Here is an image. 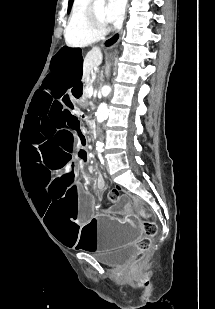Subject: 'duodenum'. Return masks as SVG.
Wrapping results in <instances>:
<instances>
[{"label":"duodenum","mask_w":215,"mask_h":309,"mask_svg":"<svg viewBox=\"0 0 215 309\" xmlns=\"http://www.w3.org/2000/svg\"><path fill=\"white\" fill-rule=\"evenodd\" d=\"M89 126H90L92 133L96 135L97 132H98L97 121L95 119H90L89 120Z\"/></svg>","instance_id":"1"}]
</instances>
